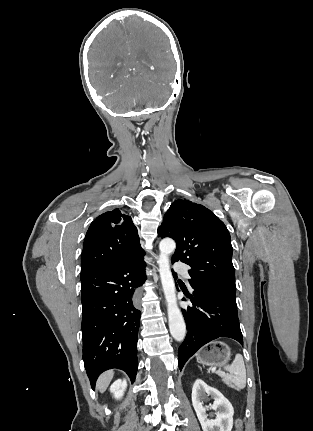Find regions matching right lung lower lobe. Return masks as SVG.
Instances as JSON below:
<instances>
[{
    "instance_id": "98d812e1",
    "label": "right lung lower lobe",
    "mask_w": 313,
    "mask_h": 431,
    "mask_svg": "<svg viewBox=\"0 0 313 431\" xmlns=\"http://www.w3.org/2000/svg\"><path fill=\"white\" fill-rule=\"evenodd\" d=\"M146 280L143 255L115 266L81 271L83 360L92 388L112 368L134 381L141 312L135 295Z\"/></svg>"
}]
</instances>
